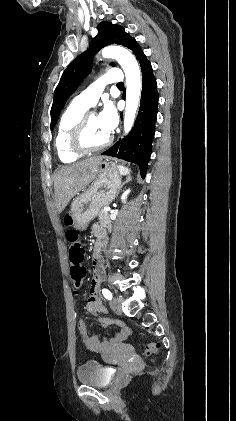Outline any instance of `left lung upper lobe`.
Here are the masks:
<instances>
[{"label":"left lung upper lobe","instance_id":"5c2ea615","mask_svg":"<svg viewBox=\"0 0 236 421\" xmlns=\"http://www.w3.org/2000/svg\"><path fill=\"white\" fill-rule=\"evenodd\" d=\"M110 44L122 45L132 51L139 46L122 26L107 21L101 22L98 25V34L91 41L89 50L75 58L61 76L54 92V101L51 108V129L56 125L60 111L67 99L90 72L92 56L101 48ZM111 65L115 66L114 63H111Z\"/></svg>","mask_w":236,"mask_h":421}]
</instances>
